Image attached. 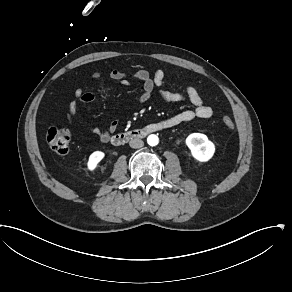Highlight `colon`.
<instances>
[{
  "instance_id": "5ec220e1",
  "label": "colon",
  "mask_w": 292,
  "mask_h": 292,
  "mask_svg": "<svg viewBox=\"0 0 292 292\" xmlns=\"http://www.w3.org/2000/svg\"><path fill=\"white\" fill-rule=\"evenodd\" d=\"M218 114L222 123L230 130L235 129L234 122L227 113L218 108ZM46 139L50 150L55 154H65L68 152L71 135L70 132L62 128H50L46 134Z\"/></svg>"
}]
</instances>
